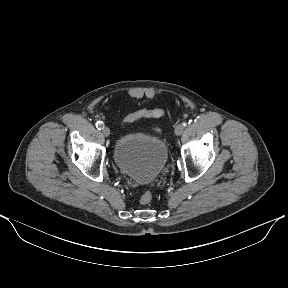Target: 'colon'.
<instances>
[{"label": "colon", "instance_id": "obj_1", "mask_svg": "<svg viewBox=\"0 0 288 288\" xmlns=\"http://www.w3.org/2000/svg\"><path fill=\"white\" fill-rule=\"evenodd\" d=\"M166 114V110L162 108L157 109H142L127 115L123 122L125 124L132 123L142 118H159ZM159 132L158 130H155ZM152 201V194L151 192L147 191L143 193L140 197V203L143 205L149 204Z\"/></svg>", "mask_w": 288, "mask_h": 288}]
</instances>
